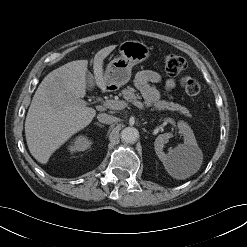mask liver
<instances>
[{
    "label": "liver",
    "mask_w": 247,
    "mask_h": 247,
    "mask_svg": "<svg viewBox=\"0 0 247 247\" xmlns=\"http://www.w3.org/2000/svg\"><path fill=\"white\" fill-rule=\"evenodd\" d=\"M114 49L115 45L105 47L94 56V79L100 89L107 87L103 60ZM87 66V60H76L53 70L33 96L25 120V136L31 155L42 164L96 115V110L82 100L86 95Z\"/></svg>",
    "instance_id": "1"
}]
</instances>
